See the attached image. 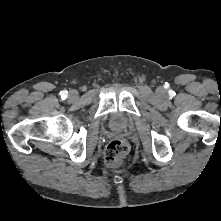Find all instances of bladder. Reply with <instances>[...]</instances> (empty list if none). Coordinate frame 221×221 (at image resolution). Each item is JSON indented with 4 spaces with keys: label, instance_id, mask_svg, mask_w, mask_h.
I'll return each mask as SVG.
<instances>
[{
    "label": "bladder",
    "instance_id": "bladder-1",
    "mask_svg": "<svg viewBox=\"0 0 221 221\" xmlns=\"http://www.w3.org/2000/svg\"><path fill=\"white\" fill-rule=\"evenodd\" d=\"M109 124L114 129H121L126 126L127 120L122 113L116 112L111 114Z\"/></svg>",
    "mask_w": 221,
    "mask_h": 221
}]
</instances>
